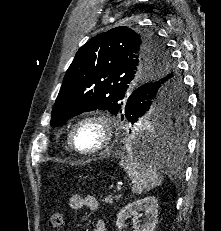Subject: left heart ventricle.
Returning <instances> with one entry per match:
<instances>
[{
	"instance_id": "b2bd125f",
	"label": "left heart ventricle",
	"mask_w": 221,
	"mask_h": 231,
	"mask_svg": "<svg viewBox=\"0 0 221 231\" xmlns=\"http://www.w3.org/2000/svg\"><path fill=\"white\" fill-rule=\"evenodd\" d=\"M103 141V129L97 122L82 124L76 133V144L81 150H92Z\"/></svg>"
}]
</instances>
